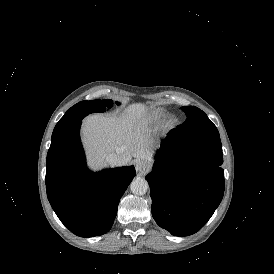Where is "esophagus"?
<instances>
[{
  "label": "esophagus",
  "mask_w": 274,
  "mask_h": 274,
  "mask_svg": "<svg viewBox=\"0 0 274 274\" xmlns=\"http://www.w3.org/2000/svg\"><path fill=\"white\" fill-rule=\"evenodd\" d=\"M135 168L139 175H142L150 170V164L147 161L136 160Z\"/></svg>",
  "instance_id": "1"
}]
</instances>
